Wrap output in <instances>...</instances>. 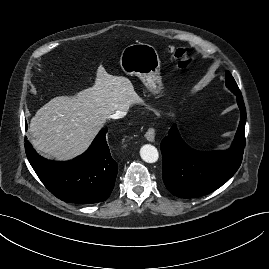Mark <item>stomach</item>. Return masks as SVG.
I'll return each instance as SVG.
<instances>
[{
    "instance_id": "obj_1",
    "label": "stomach",
    "mask_w": 269,
    "mask_h": 269,
    "mask_svg": "<svg viewBox=\"0 0 269 269\" xmlns=\"http://www.w3.org/2000/svg\"><path fill=\"white\" fill-rule=\"evenodd\" d=\"M120 65L127 74L138 76L151 91L162 89L160 59L152 45L136 43L125 47Z\"/></svg>"
}]
</instances>
